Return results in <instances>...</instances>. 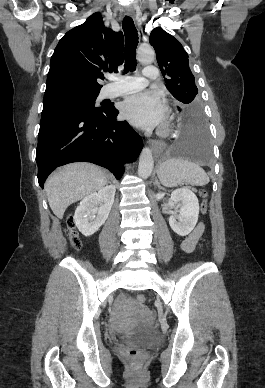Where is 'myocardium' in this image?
Wrapping results in <instances>:
<instances>
[{
  "label": "myocardium",
  "mask_w": 265,
  "mask_h": 388,
  "mask_svg": "<svg viewBox=\"0 0 265 388\" xmlns=\"http://www.w3.org/2000/svg\"><path fill=\"white\" fill-rule=\"evenodd\" d=\"M170 129H171V126L169 124H166L164 126H162L160 129H159V135L161 136H167L169 133H170Z\"/></svg>",
  "instance_id": "myocardium-1"
}]
</instances>
